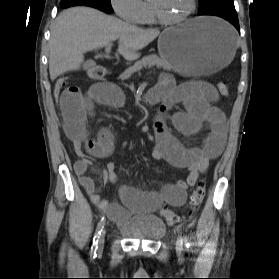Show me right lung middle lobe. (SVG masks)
I'll use <instances>...</instances> for the list:
<instances>
[{"label":"right lung middle lobe","instance_id":"1","mask_svg":"<svg viewBox=\"0 0 279 279\" xmlns=\"http://www.w3.org/2000/svg\"><path fill=\"white\" fill-rule=\"evenodd\" d=\"M97 2L101 4L103 7H105L106 9H108L109 11L111 12L113 11L110 0H97Z\"/></svg>","mask_w":279,"mask_h":279}]
</instances>
